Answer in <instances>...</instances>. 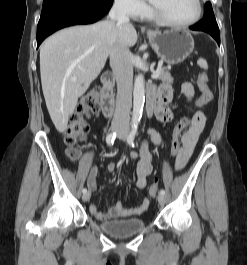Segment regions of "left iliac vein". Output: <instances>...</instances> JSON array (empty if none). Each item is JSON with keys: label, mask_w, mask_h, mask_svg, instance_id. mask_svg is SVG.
I'll list each match as a JSON object with an SVG mask.
<instances>
[{"label": "left iliac vein", "mask_w": 247, "mask_h": 265, "mask_svg": "<svg viewBox=\"0 0 247 265\" xmlns=\"http://www.w3.org/2000/svg\"><path fill=\"white\" fill-rule=\"evenodd\" d=\"M128 134V130L127 129H123L121 130L119 133H118V138L121 139V140H125L126 139V136ZM165 196L163 194H159L158 195V202L160 205H164L165 203Z\"/></svg>", "instance_id": "1"}]
</instances>
